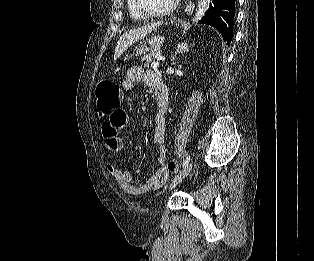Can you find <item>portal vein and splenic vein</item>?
Instances as JSON below:
<instances>
[{"instance_id":"portal-vein-and-splenic-vein-1","label":"portal vein and splenic vein","mask_w":314,"mask_h":261,"mask_svg":"<svg viewBox=\"0 0 314 261\" xmlns=\"http://www.w3.org/2000/svg\"><path fill=\"white\" fill-rule=\"evenodd\" d=\"M164 58L162 56H158V60H163ZM159 66V61L153 62L151 64V68L153 69H157V67Z\"/></svg>"}]
</instances>
